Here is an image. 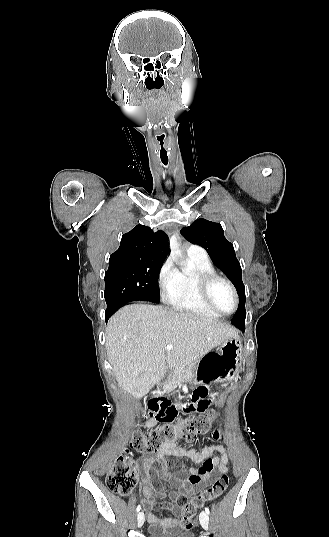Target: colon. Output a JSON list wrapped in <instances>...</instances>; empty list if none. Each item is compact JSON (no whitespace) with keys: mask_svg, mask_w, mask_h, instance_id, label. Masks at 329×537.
I'll return each mask as SVG.
<instances>
[{"mask_svg":"<svg viewBox=\"0 0 329 537\" xmlns=\"http://www.w3.org/2000/svg\"><path fill=\"white\" fill-rule=\"evenodd\" d=\"M149 416L152 419L156 417L151 412ZM212 424L213 418L208 414L194 416L177 425L161 424L149 432L136 431L131 437L129 448L126 449V452H129V449H134L139 453L150 454L157 451L164 443L174 442L181 437L191 441L197 435L209 432ZM136 479L137 471L133 466V462L125 456H119L115 464L106 472L105 483L113 493L127 496L131 493ZM228 484L229 478L226 474H223L215 480L211 487L186 501L185 505L181 507V515L182 526L187 533L192 534L195 531L194 517L198 509L205 503H209L221 496L227 489Z\"/></svg>","mask_w":329,"mask_h":537,"instance_id":"5ec220e1","label":"colon"}]
</instances>
